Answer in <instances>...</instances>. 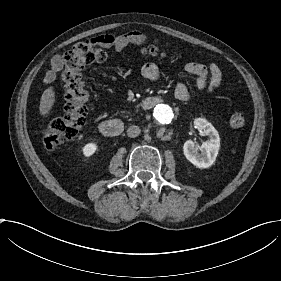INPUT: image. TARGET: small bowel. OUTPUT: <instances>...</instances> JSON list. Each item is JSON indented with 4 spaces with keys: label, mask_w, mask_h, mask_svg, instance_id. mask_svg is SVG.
I'll return each mask as SVG.
<instances>
[{
    "label": "small bowel",
    "mask_w": 281,
    "mask_h": 281,
    "mask_svg": "<svg viewBox=\"0 0 281 281\" xmlns=\"http://www.w3.org/2000/svg\"><path fill=\"white\" fill-rule=\"evenodd\" d=\"M146 41L145 37L135 31H129L113 36H106L102 39V46H113L117 51H121L128 44H142ZM64 63L59 56L52 59L51 69L46 74V81L51 82L56 74L62 70ZM185 71L193 76L191 85L195 89L214 92L218 89L220 82V71L215 63L209 62L207 65L190 62L185 65ZM144 77L150 82H156L160 78V72L154 63L148 62L142 68ZM174 95L169 96V101L176 98L180 102H186L190 99V87L187 82H180L176 85ZM157 98V103L164 101Z\"/></svg>",
    "instance_id": "c3829d8e"
}]
</instances>
